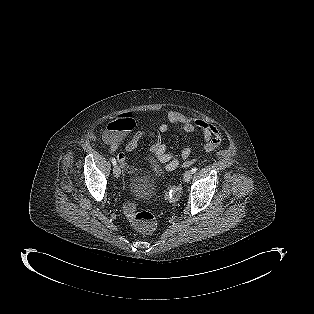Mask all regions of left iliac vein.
<instances>
[{"label":"left iliac vein","mask_w":314,"mask_h":314,"mask_svg":"<svg viewBox=\"0 0 314 314\" xmlns=\"http://www.w3.org/2000/svg\"><path fill=\"white\" fill-rule=\"evenodd\" d=\"M191 178H192V172L191 170H187L183 176L184 182L188 183L191 180Z\"/></svg>","instance_id":"left-iliac-vein-1"}]
</instances>
